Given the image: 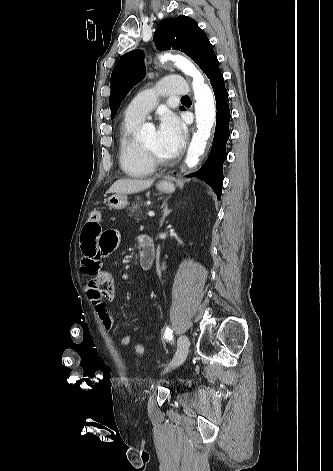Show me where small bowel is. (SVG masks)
<instances>
[{
    "instance_id": "1",
    "label": "small bowel",
    "mask_w": 333,
    "mask_h": 471,
    "mask_svg": "<svg viewBox=\"0 0 333 471\" xmlns=\"http://www.w3.org/2000/svg\"><path fill=\"white\" fill-rule=\"evenodd\" d=\"M146 239L142 237L140 244ZM120 236L115 230L102 231L100 220L91 222L88 220L83 227L81 235L82 260L81 269L89 276L86 283V294L92 304L100 322L107 330H112L114 321L110 316L105 300L111 301L114 298V279L110 271L102 267V258L112 252L118 245ZM107 285L105 289L104 286ZM139 329V325H134L132 331ZM131 337L124 335L120 344L128 346Z\"/></svg>"
}]
</instances>
